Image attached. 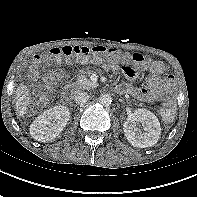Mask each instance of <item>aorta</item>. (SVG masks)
Here are the masks:
<instances>
[{"label":"aorta","instance_id":"aorta-1","mask_svg":"<svg viewBox=\"0 0 197 197\" xmlns=\"http://www.w3.org/2000/svg\"><path fill=\"white\" fill-rule=\"evenodd\" d=\"M112 102V98L109 94H103L100 96V103L103 106H109Z\"/></svg>","mask_w":197,"mask_h":197}]
</instances>
